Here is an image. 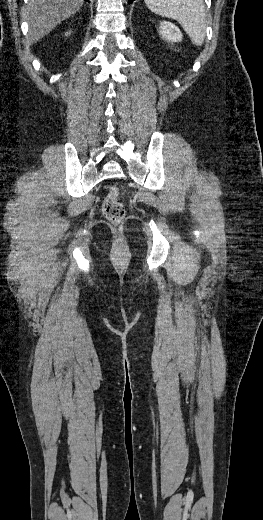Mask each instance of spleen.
I'll list each match as a JSON object with an SVG mask.
<instances>
[{
    "label": "spleen",
    "instance_id": "spleen-1",
    "mask_svg": "<svg viewBox=\"0 0 263 520\" xmlns=\"http://www.w3.org/2000/svg\"><path fill=\"white\" fill-rule=\"evenodd\" d=\"M147 7L179 22L191 42L201 46L205 39L206 11L203 0H144Z\"/></svg>",
    "mask_w": 263,
    "mask_h": 520
}]
</instances>
